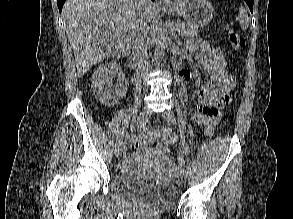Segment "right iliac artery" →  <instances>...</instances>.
Listing matches in <instances>:
<instances>
[{
	"mask_svg": "<svg viewBox=\"0 0 293 219\" xmlns=\"http://www.w3.org/2000/svg\"><path fill=\"white\" fill-rule=\"evenodd\" d=\"M148 126H149V121L143 123V125H141V126H138V128L136 129V131H132L131 133H126V134L122 135V136L118 139L117 144H118V145H119V144H123V140H124L125 137L128 138V137H130V136H134L135 134H141V133H143L144 131L147 130Z\"/></svg>",
	"mask_w": 293,
	"mask_h": 219,
	"instance_id": "right-iliac-artery-1",
	"label": "right iliac artery"
}]
</instances>
